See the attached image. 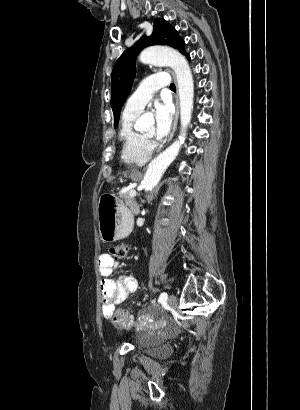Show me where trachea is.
Listing matches in <instances>:
<instances>
[{
    "instance_id": "1",
    "label": "trachea",
    "mask_w": 300,
    "mask_h": 410,
    "mask_svg": "<svg viewBox=\"0 0 300 410\" xmlns=\"http://www.w3.org/2000/svg\"><path fill=\"white\" fill-rule=\"evenodd\" d=\"M170 89L173 90V91L176 90V87H175V85H174L173 83L170 84Z\"/></svg>"
}]
</instances>
